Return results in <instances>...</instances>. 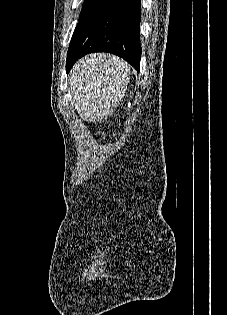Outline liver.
Returning <instances> with one entry per match:
<instances>
[{
	"label": "liver",
	"mask_w": 227,
	"mask_h": 315,
	"mask_svg": "<svg viewBox=\"0 0 227 315\" xmlns=\"http://www.w3.org/2000/svg\"><path fill=\"white\" fill-rule=\"evenodd\" d=\"M95 56L100 57V58H101V57H110L109 55H108V56H106V55L102 56V55H100V54H99V55H95Z\"/></svg>",
	"instance_id": "obj_1"
}]
</instances>
